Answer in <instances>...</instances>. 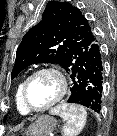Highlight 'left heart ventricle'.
I'll return each instance as SVG.
<instances>
[{"instance_id": "left-heart-ventricle-1", "label": "left heart ventricle", "mask_w": 117, "mask_h": 136, "mask_svg": "<svg viewBox=\"0 0 117 136\" xmlns=\"http://www.w3.org/2000/svg\"><path fill=\"white\" fill-rule=\"evenodd\" d=\"M59 92V83L52 74H40L29 83L27 98L34 108H42L49 104Z\"/></svg>"}]
</instances>
